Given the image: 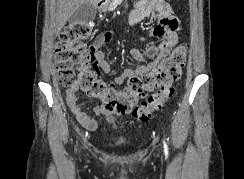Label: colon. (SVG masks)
Instances as JSON below:
<instances>
[{"mask_svg":"<svg viewBox=\"0 0 244 179\" xmlns=\"http://www.w3.org/2000/svg\"><path fill=\"white\" fill-rule=\"evenodd\" d=\"M93 28L89 22H84V26L70 24L61 33L57 44V76L61 85L67 88L80 87L88 97L103 102L110 114L123 115L130 111L138 122L147 121L173 98V83L182 75L186 47L176 46L161 64L147 74L130 76L125 91L121 93L101 79L94 57L85 45ZM147 92L152 94L143 102V106H134V101L144 97ZM91 122L90 118L85 120L87 124Z\"/></svg>","mask_w":244,"mask_h":179,"instance_id":"obj_1","label":"colon"}]
</instances>
